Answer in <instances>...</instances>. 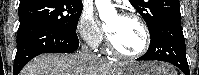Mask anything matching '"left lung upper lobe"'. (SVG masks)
Segmentation results:
<instances>
[{
  "label": "left lung upper lobe",
  "mask_w": 199,
  "mask_h": 75,
  "mask_svg": "<svg viewBox=\"0 0 199 75\" xmlns=\"http://www.w3.org/2000/svg\"><path fill=\"white\" fill-rule=\"evenodd\" d=\"M145 20L150 36L168 18L181 16L179 0H129Z\"/></svg>",
  "instance_id": "5c2ea615"
}]
</instances>
